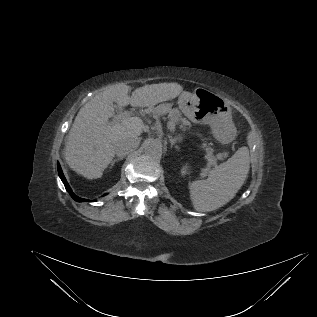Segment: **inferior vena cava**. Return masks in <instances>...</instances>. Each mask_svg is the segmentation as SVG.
<instances>
[{
	"label": "inferior vena cava",
	"mask_w": 317,
	"mask_h": 317,
	"mask_svg": "<svg viewBox=\"0 0 317 317\" xmlns=\"http://www.w3.org/2000/svg\"><path fill=\"white\" fill-rule=\"evenodd\" d=\"M140 140L137 137H125L114 144V152L119 157H125L129 152L139 146Z\"/></svg>",
	"instance_id": "obj_1"
}]
</instances>
